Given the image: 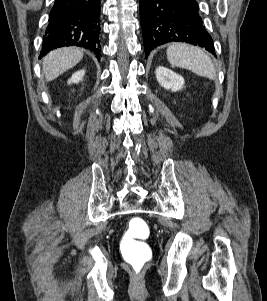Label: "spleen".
Returning <instances> with one entry per match:
<instances>
[{
  "mask_svg": "<svg viewBox=\"0 0 267 301\" xmlns=\"http://www.w3.org/2000/svg\"><path fill=\"white\" fill-rule=\"evenodd\" d=\"M167 59L171 65L192 71L193 73L216 78V70L210 57L201 49L181 43H173L167 49Z\"/></svg>",
  "mask_w": 267,
  "mask_h": 301,
  "instance_id": "1",
  "label": "spleen"
}]
</instances>
